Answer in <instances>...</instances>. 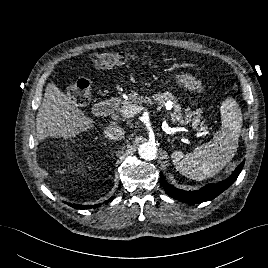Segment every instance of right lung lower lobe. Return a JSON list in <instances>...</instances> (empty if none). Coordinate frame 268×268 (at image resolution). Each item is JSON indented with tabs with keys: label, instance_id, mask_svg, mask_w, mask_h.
Returning a JSON list of instances; mask_svg holds the SVG:
<instances>
[{
	"label": "right lung lower lobe",
	"instance_id": "98d812e1",
	"mask_svg": "<svg viewBox=\"0 0 268 268\" xmlns=\"http://www.w3.org/2000/svg\"><path fill=\"white\" fill-rule=\"evenodd\" d=\"M114 197L110 198L106 203L110 202L113 200ZM69 206L73 207V208H77V209H90V208H97L99 205H92V206H83V205H79V204H69L67 203Z\"/></svg>",
	"mask_w": 268,
	"mask_h": 268
}]
</instances>
